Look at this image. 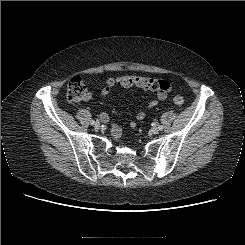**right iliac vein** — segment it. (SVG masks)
Returning <instances> with one entry per match:
<instances>
[{
    "instance_id": "63e3f726",
    "label": "right iliac vein",
    "mask_w": 245,
    "mask_h": 245,
    "mask_svg": "<svg viewBox=\"0 0 245 245\" xmlns=\"http://www.w3.org/2000/svg\"><path fill=\"white\" fill-rule=\"evenodd\" d=\"M94 126H95V128H99L100 127V123L99 122H96L95 124H94Z\"/></svg>"
}]
</instances>
